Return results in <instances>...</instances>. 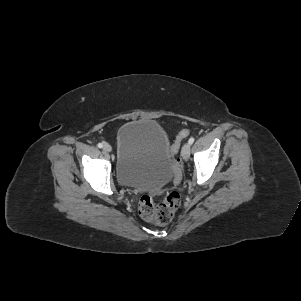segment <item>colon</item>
Listing matches in <instances>:
<instances>
[{
  "mask_svg": "<svg viewBox=\"0 0 301 301\" xmlns=\"http://www.w3.org/2000/svg\"><path fill=\"white\" fill-rule=\"evenodd\" d=\"M190 134L188 129L181 130L176 136L175 141L171 145L170 152L173 158V170L176 179L181 178L182 166L179 159L176 157L181 143ZM180 193L177 190L169 191L162 202L155 205L151 196L144 195L140 198L138 210L140 216L149 222H153L158 225H165L172 221L177 208L180 205Z\"/></svg>",
  "mask_w": 301,
  "mask_h": 301,
  "instance_id": "5ec220e1",
  "label": "colon"
}]
</instances>
